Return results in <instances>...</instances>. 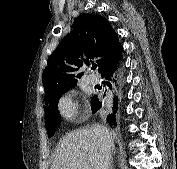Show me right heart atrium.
<instances>
[{
	"label": "right heart atrium",
	"mask_w": 177,
	"mask_h": 169,
	"mask_svg": "<svg viewBox=\"0 0 177 169\" xmlns=\"http://www.w3.org/2000/svg\"><path fill=\"white\" fill-rule=\"evenodd\" d=\"M58 109L60 114L67 118L73 119L77 117L79 108L77 101L68 93L65 94L58 103Z\"/></svg>",
	"instance_id": "obj_1"
}]
</instances>
